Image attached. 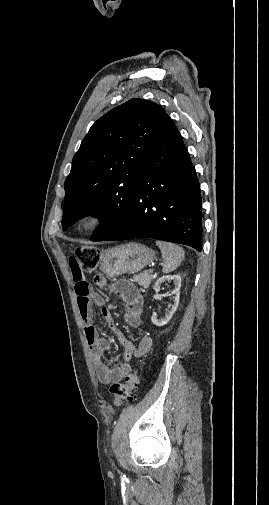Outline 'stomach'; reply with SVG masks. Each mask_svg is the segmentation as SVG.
I'll return each instance as SVG.
<instances>
[{
  "mask_svg": "<svg viewBox=\"0 0 269 505\" xmlns=\"http://www.w3.org/2000/svg\"><path fill=\"white\" fill-rule=\"evenodd\" d=\"M155 259V252L140 243L130 242L102 251L100 270L110 278L141 271Z\"/></svg>",
  "mask_w": 269,
  "mask_h": 505,
  "instance_id": "obj_1",
  "label": "stomach"
}]
</instances>
